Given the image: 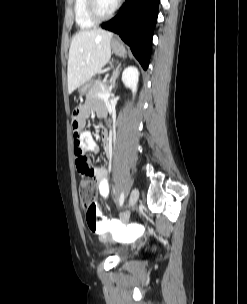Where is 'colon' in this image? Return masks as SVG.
I'll use <instances>...</instances> for the list:
<instances>
[{"mask_svg":"<svg viewBox=\"0 0 247 304\" xmlns=\"http://www.w3.org/2000/svg\"><path fill=\"white\" fill-rule=\"evenodd\" d=\"M72 120H80L73 119ZM81 168H86V159H79ZM96 187L91 176L87 175L79 185V199L85 209L87 226L91 232L106 235L112 233L115 238H120L119 245L127 246L128 240L124 238H145L144 227L139 224H118L115 221L106 219L94 202ZM133 243V242H132ZM149 246L152 252L159 248V241H150Z\"/></svg>","mask_w":247,"mask_h":304,"instance_id":"5ec220e1","label":"colon"}]
</instances>
